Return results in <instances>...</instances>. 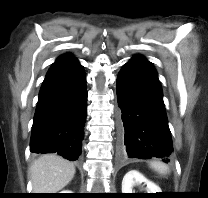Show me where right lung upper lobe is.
Instances as JSON below:
<instances>
[{"label":"right lung upper lobe","mask_w":208,"mask_h":198,"mask_svg":"<svg viewBox=\"0 0 208 198\" xmlns=\"http://www.w3.org/2000/svg\"><path fill=\"white\" fill-rule=\"evenodd\" d=\"M77 61V59L75 57L72 56L71 53H67V54H64L62 56H60L51 66V68L49 69L48 73H51L63 66H66L68 64H71L73 62Z\"/></svg>","instance_id":"cb5924a9"}]
</instances>
